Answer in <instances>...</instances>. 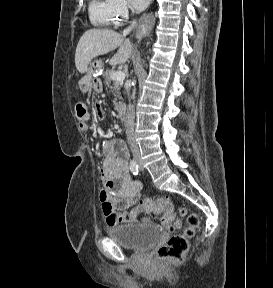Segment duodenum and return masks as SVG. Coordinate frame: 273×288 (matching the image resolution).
I'll return each instance as SVG.
<instances>
[{"instance_id":"1","label":"duodenum","mask_w":273,"mask_h":288,"mask_svg":"<svg viewBox=\"0 0 273 288\" xmlns=\"http://www.w3.org/2000/svg\"><path fill=\"white\" fill-rule=\"evenodd\" d=\"M116 114L118 116V118L120 120H124L125 119V115H126V107L125 104L120 103L116 106Z\"/></svg>"}]
</instances>
